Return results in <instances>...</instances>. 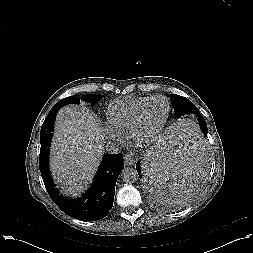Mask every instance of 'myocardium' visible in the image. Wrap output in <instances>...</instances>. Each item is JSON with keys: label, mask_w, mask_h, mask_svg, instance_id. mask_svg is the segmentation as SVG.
I'll list each match as a JSON object with an SVG mask.
<instances>
[{"label": "myocardium", "mask_w": 253, "mask_h": 253, "mask_svg": "<svg viewBox=\"0 0 253 253\" xmlns=\"http://www.w3.org/2000/svg\"><path fill=\"white\" fill-rule=\"evenodd\" d=\"M158 98L165 99L167 102L168 109H167L166 116H165L163 122L159 125V127H157L154 131H152L148 135L142 137L140 135V127H141V123H142V120L144 117L145 110L155 99H158ZM170 114H171V103L167 97H165L163 95H155V96L150 97L139 108L137 115H136V117L132 123V126L129 130V133H128L129 138L131 140H133L134 142H136L138 144H143V145H147V144L154 142L160 136L162 131L164 130V128L169 120Z\"/></svg>", "instance_id": "1"}]
</instances>
